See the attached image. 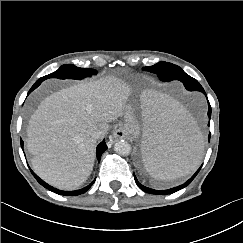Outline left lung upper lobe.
I'll use <instances>...</instances> for the list:
<instances>
[{"label":"left lung upper lobe","mask_w":243,"mask_h":243,"mask_svg":"<svg viewBox=\"0 0 243 243\" xmlns=\"http://www.w3.org/2000/svg\"><path fill=\"white\" fill-rule=\"evenodd\" d=\"M143 70L157 74L159 79L165 82L180 80L184 85L198 83L196 79L186 74L179 66L168 62H158L153 66L144 67Z\"/></svg>","instance_id":"5c2ea615"}]
</instances>
